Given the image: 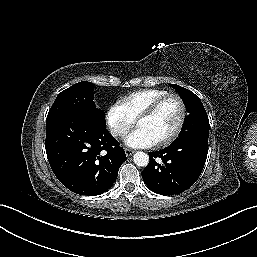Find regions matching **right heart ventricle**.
<instances>
[{"label": "right heart ventricle", "instance_id": "e07e8e85", "mask_svg": "<svg viewBox=\"0 0 257 257\" xmlns=\"http://www.w3.org/2000/svg\"><path fill=\"white\" fill-rule=\"evenodd\" d=\"M165 89L148 88L129 93L122 98V103L129 114L135 119L153 102L169 94Z\"/></svg>", "mask_w": 257, "mask_h": 257}]
</instances>
